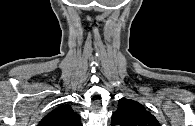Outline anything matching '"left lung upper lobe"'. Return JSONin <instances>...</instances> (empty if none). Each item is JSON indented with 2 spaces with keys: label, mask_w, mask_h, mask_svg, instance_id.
I'll return each instance as SVG.
<instances>
[{
  "label": "left lung upper lobe",
  "mask_w": 195,
  "mask_h": 126,
  "mask_svg": "<svg viewBox=\"0 0 195 126\" xmlns=\"http://www.w3.org/2000/svg\"><path fill=\"white\" fill-rule=\"evenodd\" d=\"M111 125L160 126L157 119L137 101L121 98L118 109L112 115Z\"/></svg>",
  "instance_id": "obj_1"
}]
</instances>
